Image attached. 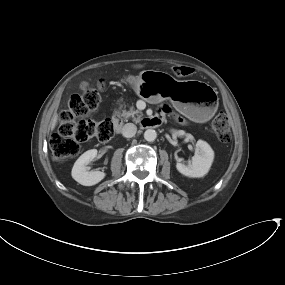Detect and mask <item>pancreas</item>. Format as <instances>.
Here are the masks:
<instances>
[{
  "label": "pancreas",
  "instance_id": "pancreas-1",
  "mask_svg": "<svg viewBox=\"0 0 285 285\" xmlns=\"http://www.w3.org/2000/svg\"><path fill=\"white\" fill-rule=\"evenodd\" d=\"M119 109H120V116L123 117V119L128 120L130 117H132L133 121L135 122H139L141 120L142 112L135 110L134 106L130 107L128 111L125 109V106L123 105H120ZM135 115H137L138 117L136 118Z\"/></svg>",
  "mask_w": 285,
  "mask_h": 285
}]
</instances>
